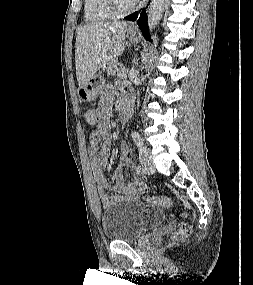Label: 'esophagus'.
<instances>
[{
    "label": "esophagus",
    "instance_id": "34e87169",
    "mask_svg": "<svg viewBox=\"0 0 253 285\" xmlns=\"http://www.w3.org/2000/svg\"><path fill=\"white\" fill-rule=\"evenodd\" d=\"M130 29L131 30H137L138 28H137V25L133 23L130 25Z\"/></svg>",
    "mask_w": 253,
    "mask_h": 285
}]
</instances>
